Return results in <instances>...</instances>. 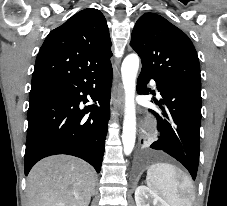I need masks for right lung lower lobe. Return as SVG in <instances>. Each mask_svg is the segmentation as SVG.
<instances>
[{
  "label": "right lung lower lobe",
  "mask_w": 227,
  "mask_h": 206,
  "mask_svg": "<svg viewBox=\"0 0 227 206\" xmlns=\"http://www.w3.org/2000/svg\"><path fill=\"white\" fill-rule=\"evenodd\" d=\"M111 84L110 63L99 71L58 81L51 89L30 94L25 175L40 159L54 154L77 156L100 172L110 118ZM87 94L101 107L80 109V102L88 101Z\"/></svg>",
  "instance_id": "98d812e1"
}]
</instances>
